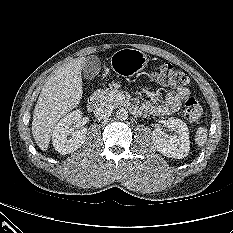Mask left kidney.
<instances>
[{
  "label": "left kidney",
  "mask_w": 233,
  "mask_h": 233,
  "mask_svg": "<svg viewBox=\"0 0 233 233\" xmlns=\"http://www.w3.org/2000/svg\"><path fill=\"white\" fill-rule=\"evenodd\" d=\"M165 125L174 131L173 135L165 133L160 126L152 132L155 148L166 157L182 159L186 157L190 149L189 132L186 123L174 117L166 120Z\"/></svg>",
  "instance_id": "obj_1"
}]
</instances>
